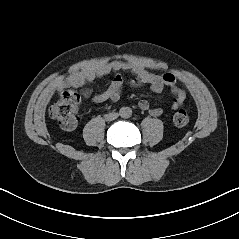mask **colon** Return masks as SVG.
<instances>
[{
  "label": "colon",
  "mask_w": 239,
  "mask_h": 239,
  "mask_svg": "<svg viewBox=\"0 0 239 239\" xmlns=\"http://www.w3.org/2000/svg\"><path fill=\"white\" fill-rule=\"evenodd\" d=\"M79 101L78 94L73 90H68L62 93L59 101L54 104L52 111L54 114L63 118L67 123H72L75 120L76 105ZM188 121L186 110L179 109L174 115V122L183 126Z\"/></svg>",
  "instance_id": "5ec220e1"
}]
</instances>
